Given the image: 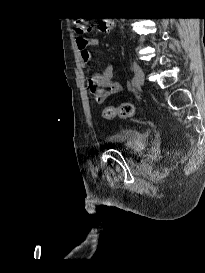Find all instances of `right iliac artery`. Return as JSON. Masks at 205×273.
Instances as JSON below:
<instances>
[{
  "mask_svg": "<svg viewBox=\"0 0 205 273\" xmlns=\"http://www.w3.org/2000/svg\"><path fill=\"white\" fill-rule=\"evenodd\" d=\"M136 85H137L136 79L133 78V79H132V86L134 87V86H136Z\"/></svg>",
  "mask_w": 205,
  "mask_h": 273,
  "instance_id": "1",
  "label": "right iliac artery"
}]
</instances>
